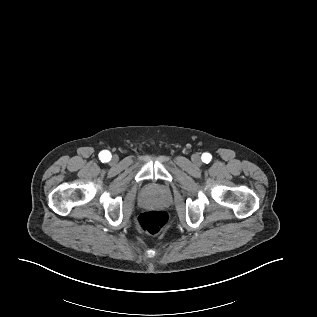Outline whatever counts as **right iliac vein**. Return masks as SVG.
<instances>
[{
  "mask_svg": "<svg viewBox=\"0 0 317 317\" xmlns=\"http://www.w3.org/2000/svg\"><path fill=\"white\" fill-rule=\"evenodd\" d=\"M117 161V157H113V162H116Z\"/></svg>",
  "mask_w": 317,
  "mask_h": 317,
  "instance_id": "1",
  "label": "right iliac vein"
}]
</instances>
